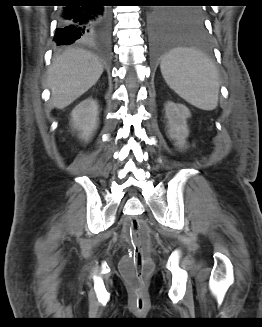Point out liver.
I'll return each mask as SVG.
<instances>
[{"label":"liver","mask_w":262,"mask_h":327,"mask_svg":"<svg viewBox=\"0 0 262 327\" xmlns=\"http://www.w3.org/2000/svg\"><path fill=\"white\" fill-rule=\"evenodd\" d=\"M103 66L93 54L68 49L54 57L48 72V87L55 108L63 109L99 80Z\"/></svg>","instance_id":"6515ba94"}]
</instances>
